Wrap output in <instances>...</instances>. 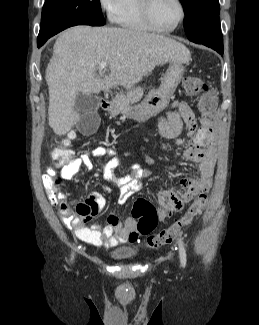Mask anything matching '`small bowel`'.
<instances>
[{"mask_svg": "<svg viewBox=\"0 0 259 325\" xmlns=\"http://www.w3.org/2000/svg\"><path fill=\"white\" fill-rule=\"evenodd\" d=\"M200 107V106H199ZM201 113L202 110L200 109ZM186 125L192 141H190L183 152V158L197 163L196 173L192 178H182L180 185L184 188L182 194L166 189L156 194L159 204L158 218L164 220L173 212L182 207L201 193H206L211 187L212 175L215 167V155L211 146L209 131L203 126L197 130V123L192 106L185 102H175L172 108L158 120V131L162 137L175 139L176 144L182 145L183 140L177 138ZM112 157L107 162L101 163L102 176L112 182L118 188L119 204H125L129 198L141 190V180L149 175V170L143 168L139 163L131 166L130 172L121 177H115V170L122 164V159L115 156L112 149L98 146L89 153L74 156L72 152L57 158L52 154V165L48 167L43 175V182L46 184L60 170L61 175L71 180L80 171L82 166L90 168L92 157ZM66 196L62 194L59 200H51L53 205H58L59 214L65 225L73 231L75 236L81 241L97 247L110 248L120 243H134L137 241L139 233L136 230V220L133 217L122 221L115 215L108 217L106 225L92 224L86 226L85 223L103 210L107 205L106 198L97 191L89 193L85 202H78L73 210L65 201ZM79 215L80 217H77Z\"/></svg>", "mask_w": 259, "mask_h": 325, "instance_id": "small-bowel-1", "label": "small bowel"}]
</instances>
